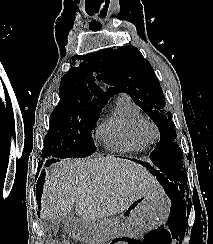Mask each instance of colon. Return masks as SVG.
<instances>
[{
  "mask_svg": "<svg viewBox=\"0 0 213 244\" xmlns=\"http://www.w3.org/2000/svg\"><path fill=\"white\" fill-rule=\"evenodd\" d=\"M50 244H70V243L68 241H65L63 243L54 241V242H51Z\"/></svg>",
  "mask_w": 213,
  "mask_h": 244,
  "instance_id": "5ec220e1",
  "label": "colon"
}]
</instances>
